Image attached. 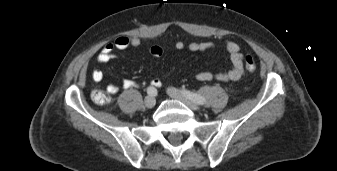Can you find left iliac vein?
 <instances>
[{
  "mask_svg": "<svg viewBox=\"0 0 337 171\" xmlns=\"http://www.w3.org/2000/svg\"><path fill=\"white\" fill-rule=\"evenodd\" d=\"M167 93L171 98L177 99L183 102L186 106H188L190 109L194 111H198L200 109L196 103H194L192 100H190L188 97H186L180 91H178L177 89L173 87H169L167 89Z\"/></svg>",
  "mask_w": 337,
  "mask_h": 171,
  "instance_id": "obj_1",
  "label": "left iliac vein"
}]
</instances>
